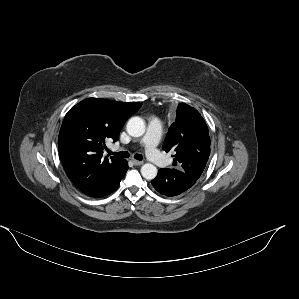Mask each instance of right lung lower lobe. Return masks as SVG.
Returning <instances> with one entry per match:
<instances>
[{"label": "right lung lower lobe", "instance_id": "98d812e1", "mask_svg": "<svg viewBox=\"0 0 299 299\" xmlns=\"http://www.w3.org/2000/svg\"><path fill=\"white\" fill-rule=\"evenodd\" d=\"M127 170H128V163L126 160H124L122 166L119 168L112 183L109 185V187L103 193H101L97 197H103V196H106V195L112 193L119 186L120 181L123 178V176L125 175Z\"/></svg>", "mask_w": 299, "mask_h": 299}]
</instances>
